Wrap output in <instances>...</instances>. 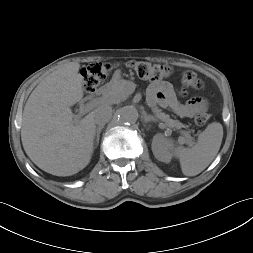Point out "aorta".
Wrapping results in <instances>:
<instances>
[{"label": "aorta", "mask_w": 253, "mask_h": 253, "mask_svg": "<svg viewBox=\"0 0 253 253\" xmlns=\"http://www.w3.org/2000/svg\"><path fill=\"white\" fill-rule=\"evenodd\" d=\"M138 111L133 106L122 107L117 114L119 122L123 124H134L138 119Z\"/></svg>", "instance_id": "762f6f07"}]
</instances>
